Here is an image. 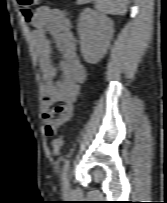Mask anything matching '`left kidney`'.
<instances>
[{
  "mask_svg": "<svg viewBox=\"0 0 167 203\" xmlns=\"http://www.w3.org/2000/svg\"><path fill=\"white\" fill-rule=\"evenodd\" d=\"M113 21L92 9H86L80 17L78 33L81 53L86 62L96 64L105 54L113 36Z\"/></svg>",
  "mask_w": 167,
  "mask_h": 203,
  "instance_id": "5707ae66",
  "label": "left kidney"
}]
</instances>
